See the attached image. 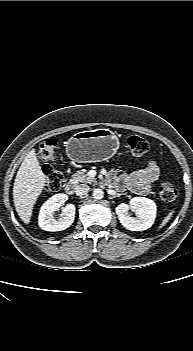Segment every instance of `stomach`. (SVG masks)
<instances>
[{
    "label": "stomach",
    "mask_w": 193,
    "mask_h": 351,
    "mask_svg": "<svg viewBox=\"0 0 193 351\" xmlns=\"http://www.w3.org/2000/svg\"><path fill=\"white\" fill-rule=\"evenodd\" d=\"M65 146L68 157L75 162H100L116 153L119 139L109 129H95L75 133Z\"/></svg>",
    "instance_id": "1"
}]
</instances>
